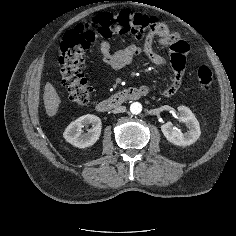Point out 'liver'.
<instances>
[{
  "label": "liver",
  "instance_id": "1",
  "mask_svg": "<svg viewBox=\"0 0 236 236\" xmlns=\"http://www.w3.org/2000/svg\"><path fill=\"white\" fill-rule=\"evenodd\" d=\"M43 99L47 115L49 117L55 116L61 104V99L50 82L45 85Z\"/></svg>",
  "mask_w": 236,
  "mask_h": 236
}]
</instances>
